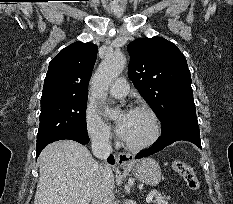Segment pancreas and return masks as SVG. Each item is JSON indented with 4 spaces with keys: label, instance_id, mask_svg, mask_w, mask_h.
<instances>
[{
    "label": "pancreas",
    "instance_id": "cf45deb5",
    "mask_svg": "<svg viewBox=\"0 0 233 204\" xmlns=\"http://www.w3.org/2000/svg\"><path fill=\"white\" fill-rule=\"evenodd\" d=\"M153 194H154V196H155V200H154V202L156 203V204H169L168 203V197H166L165 195H163V194H161V193H159V192H157V191H155V192H152Z\"/></svg>",
    "mask_w": 233,
    "mask_h": 204
}]
</instances>
